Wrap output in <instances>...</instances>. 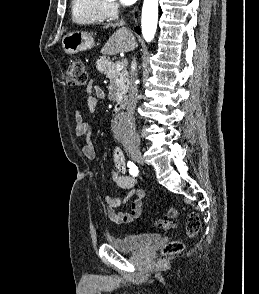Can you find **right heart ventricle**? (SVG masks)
I'll return each instance as SVG.
<instances>
[{
	"mask_svg": "<svg viewBox=\"0 0 259 294\" xmlns=\"http://www.w3.org/2000/svg\"><path fill=\"white\" fill-rule=\"evenodd\" d=\"M72 18L79 24H97L106 18L103 0H73Z\"/></svg>",
	"mask_w": 259,
	"mask_h": 294,
	"instance_id": "obj_1",
	"label": "right heart ventricle"
}]
</instances>
